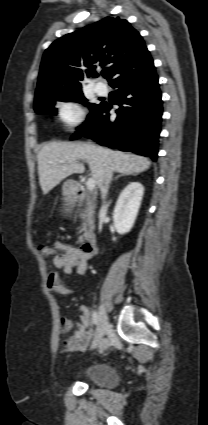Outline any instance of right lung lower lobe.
I'll list each match as a JSON object with an SVG mask.
<instances>
[{"label":"right lung lower lobe","instance_id":"obj_1","mask_svg":"<svg viewBox=\"0 0 208 425\" xmlns=\"http://www.w3.org/2000/svg\"><path fill=\"white\" fill-rule=\"evenodd\" d=\"M109 84L118 88L117 118L111 120V106L101 103L88 115V125L79 126L72 139L85 136L102 146L138 153L156 161L162 100L150 54L125 68Z\"/></svg>","mask_w":208,"mask_h":425}]
</instances>
